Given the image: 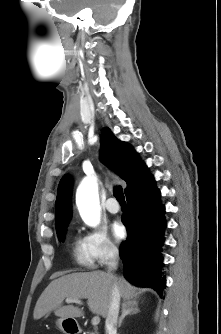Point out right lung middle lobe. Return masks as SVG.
<instances>
[{
    "mask_svg": "<svg viewBox=\"0 0 221 334\" xmlns=\"http://www.w3.org/2000/svg\"><path fill=\"white\" fill-rule=\"evenodd\" d=\"M66 228H67V227L62 228V229H60V230L57 231L58 239H59L60 241H63V240H64V232H65Z\"/></svg>",
    "mask_w": 221,
    "mask_h": 334,
    "instance_id": "dd1d6c3e",
    "label": "right lung middle lobe"
}]
</instances>
